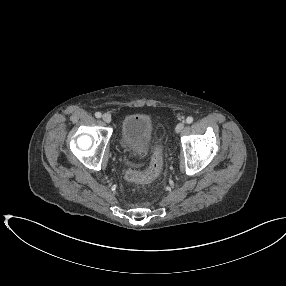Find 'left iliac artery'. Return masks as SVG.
I'll use <instances>...</instances> for the list:
<instances>
[{"mask_svg":"<svg viewBox=\"0 0 286 286\" xmlns=\"http://www.w3.org/2000/svg\"><path fill=\"white\" fill-rule=\"evenodd\" d=\"M192 122H193V117H191V116L187 117L186 123L191 124Z\"/></svg>","mask_w":286,"mask_h":286,"instance_id":"44dca946","label":"left iliac artery"}]
</instances>
